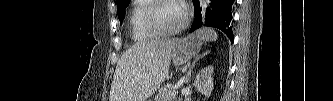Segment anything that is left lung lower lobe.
I'll list each match as a JSON object with an SVG mask.
<instances>
[{
	"instance_id": "obj_1",
	"label": "left lung lower lobe",
	"mask_w": 333,
	"mask_h": 101,
	"mask_svg": "<svg viewBox=\"0 0 333 101\" xmlns=\"http://www.w3.org/2000/svg\"><path fill=\"white\" fill-rule=\"evenodd\" d=\"M195 4V20L191 26L190 32L195 31L202 25L200 6L198 0H193ZM235 0H211L210 7L206 9L205 26L216 27L222 30L230 39L234 41L233 31L230 27L232 19L231 8Z\"/></svg>"
}]
</instances>
